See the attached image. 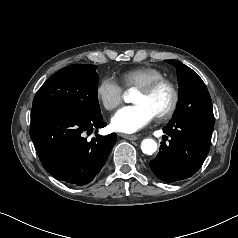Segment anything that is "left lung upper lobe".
I'll list each match as a JSON object with an SVG mask.
<instances>
[{"label":"left lung upper lobe","instance_id":"obj_1","mask_svg":"<svg viewBox=\"0 0 238 238\" xmlns=\"http://www.w3.org/2000/svg\"><path fill=\"white\" fill-rule=\"evenodd\" d=\"M177 68L179 102L170 122L185 121L214 125L210 94L199 75L177 60H166Z\"/></svg>","mask_w":238,"mask_h":238}]
</instances>
